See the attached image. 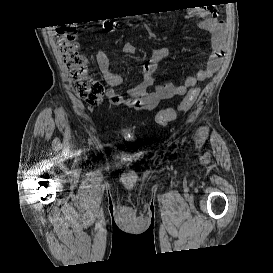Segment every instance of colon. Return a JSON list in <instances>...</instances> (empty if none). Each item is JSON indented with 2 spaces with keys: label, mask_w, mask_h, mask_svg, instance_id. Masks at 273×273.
Here are the masks:
<instances>
[{
  "label": "colon",
  "mask_w": 273,
  "mask_h": 273,
  "mask_svg": "<svg viewBox=\"0 0 273 273\" xmlns=\"http://www.w3.org/2000/svg\"><path fill=\"white\" fill-rule=\"evenodd\" d=\"M79 29L78 24L58 28L56 32L57 46L73 81L76 94L93 107L100 104L106 89L103 82L90 71L87 57L79 50L77 43ZM197 95L198 89L190 90L176 107L158 112L156 122L163 126L169 124L176 119L178 114L190 109Z\"/></svg>",
  "instance_id": "obj_1"
}]
</instances>
